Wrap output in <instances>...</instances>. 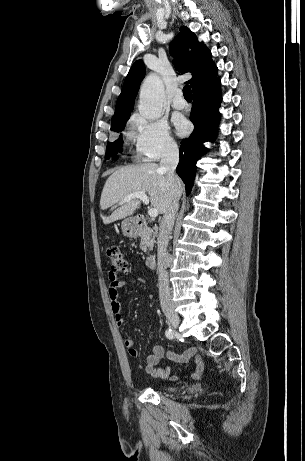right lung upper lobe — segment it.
Wrapping results in <instances>:
<instances>
[{"mask_svg": "<svg viewBox=\"0 0 305 461\" xmlns=\"http://www.w3.org/2000/svg\"><path fill=\"white\" fill-rule=\"evenodd\" d=\"M174 57V64L181 73L193 74L188 83L192 90L208 78L216 74L217 67L212 62L211 52L203 42H199L196 35L187 27L180 28V33L171 42L169 47ZM145 75V66L142 60L136 61L125 78L121 94L116 102V111L112 117V125L129 119L139 85Z\"/></svg>", "mask_w": 305, "mask_h": 461, "instance_id": "obj_1", "label": "right lung upper lobe"}]
</instances>
